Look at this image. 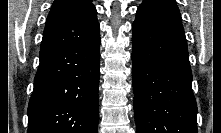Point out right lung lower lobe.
<instances>
[{"label":"right lung lower lobe","instance_id":"1","mask_svg":"<svg viewBox=\"0 0 221 133\" xmlns=\"http://www.w3.org/2000/svg\"><path fill=\"white\" fill-rule=\"evenodd\" d=\"M100 34L80 45L40 50L28 133H97Z\"/></svg>","mask_w":221,"mask_h":133}]
</instances>
